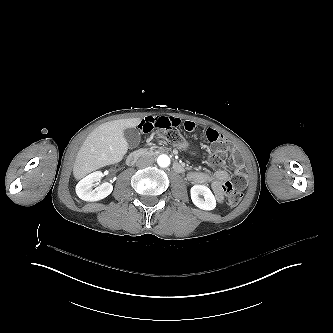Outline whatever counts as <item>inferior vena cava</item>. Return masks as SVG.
Listing matches in <instances>:
<instances>
[{
    "mask_svg": "<svg viewBox=\"0 0 333 333\" xmlns=\"http://www.w3.org/2000/svg\"><path fill=\"white\" fill-rule=\"evenodd\" d=\"M154 163V157L150 155L141 156L136 162V166L139 168H144L150 166Z\"/></svg>",
    "mask_w": 333,
    "mask_h": 333,
    "instance_id": "1",
    "label": "inferior vena cava"
}]
</instances>
